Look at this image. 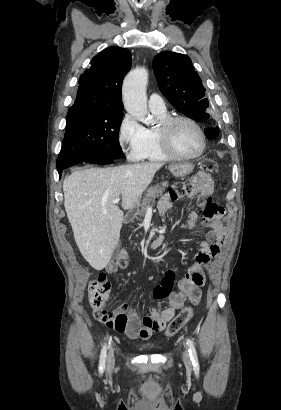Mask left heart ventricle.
Wrapping results in <instances>:
<instances>
[{"mask_svg": "<svg viewBox=\"0 0 281 410\" xmlns=\"http://www.w3.org/2000/svg\"><path fill=\"white\" fill-rule=\"evenodd\" d=\"M170 140L174 149L182 155L196 154L202 145L199 132L187 122H178L172 127Z\"/></svg>", "mask_w": 281, "mask_h": 410, "instance_id": "b2bd125f", "label": "left heart ventricle"}]
</instances>
